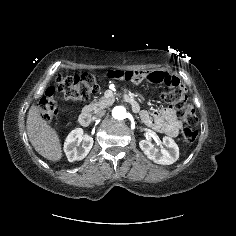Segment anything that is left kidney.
Instances as JSON below:
<instances>
[{
  "label": "left kidney",
  "mask_w": 236,
  "mask_h": 236,
  "mask_svg": "<svg viewBox=\"0 0 236 236\" xmlns=\"http://www.w3.org/2000/svg\"><path fill=\"white\" fill-rule=\"evenodd\" d=\"M163 144L167 149L158 150L149 140H141L139 146L144 154L157 164L170 165L179 158V147L170 137H163Z\"/></svg>",
  "instance_id": "left-kidney-1"
}]
</instances>
